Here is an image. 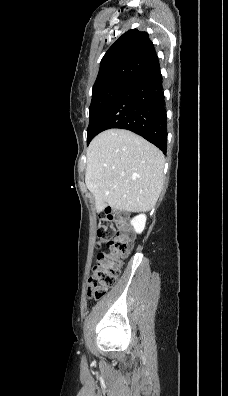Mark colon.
I'll list each match as a JSON object with an SVG mask.
<instances>
[{
    "mask_svg": "<svg viewBox=\"0 0 228 396\" xmlns=\"http://www.w3.org/2000/svg\"><path fill=\"white\" fill-rule=\"evenodd\" d=\"M98 237L104 251L97 257L88 280V296L98 300L111 288L119 276L123 258L132 244V232L123 217L112 209H106L99 222Z\"/></svg>",
    "mask_w": 228,
    "mask_h": 396,
    "instance_id": "5ec220e1",
    "label": "colon"
}]
</instances>
